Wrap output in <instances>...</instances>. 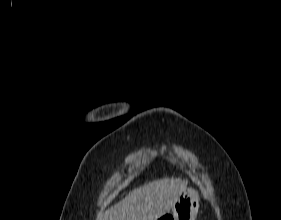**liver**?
Here are the masks:
<instances>
[{
    "mask_svg": "<svg viewBox=\"0 0 281 220\" xmlns=\"http://www.w3.org/2000/svg\"><path fill=\"white\" fill-rule=\"evenodd\" d=\"M186 186L187 181L173 177L149 182L99 213L97 220H157L172 209Z\"/></svg>",
    "mask_w": 281,
    "mask_h": 220,
    "instance_id": "liver-1",
    "label": "liver"
}]
</instances>
